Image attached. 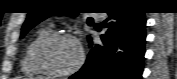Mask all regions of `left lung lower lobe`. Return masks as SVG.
<instances>
[{"instance_id":"obj_1","label":"left lung lower lobe","mask_w":177,"mask_h":79,"mask_svg":"<svg viewBox=\"0 0 177 79\" xmlns=\"http://www.w3.org/2000/svg\"><path fill=\"white\" fill-rule=\"evenodd\" d=\"M107 32L84 66L69 79H141L146 19L143 12H109L102 23Z\"/></svg>"}]
</instances>
